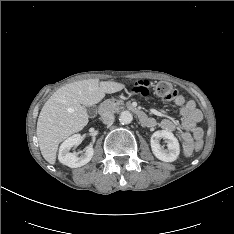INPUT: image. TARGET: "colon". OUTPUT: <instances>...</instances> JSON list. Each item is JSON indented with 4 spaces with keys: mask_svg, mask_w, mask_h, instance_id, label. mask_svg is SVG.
<instances>
[{
    "mask_svg": "<svg viewBox=\"0 0 234 234\" xmlns=\"http://www.w3.org/2000/svg\"><path fill=\"white\" fill-rule=\"evenodd\" d=\"M130 90L144 97H149L152 95V93H154L155 95L163 99H171L175 94V91L172 89L171 85L166 82L158 83L154 88V92H152L150 83L147 80H140L136 82L131 86ZM201 146V143L197 142L194 145V148L195 150H199Z\"/></svg>",
    "mask_w": 234,
    "mask_h": 234,
    "instance_id": "5ec220e1",
    "label": "colon"
}]
</instances>
